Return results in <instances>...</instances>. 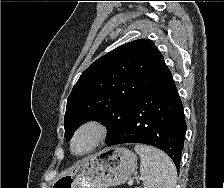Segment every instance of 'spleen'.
Returning a JSON list of instances; mask_svg holds the SVG:
<instances>
[{"label":"spleen","instance_id":"spleen-1","mask_svg":"<svg viewBox=\"0 0 224 188\" xmlns=\"http://www.w3.org/2000/svg\"><path fill=\"white\" fill-rule=\"evenodd\" d=\"M134 149L141 158L144 188H175L176 167L166 153L145 144H136Z\"/></svg>","mask_w":224,"mask_h":188}]
</instances>
